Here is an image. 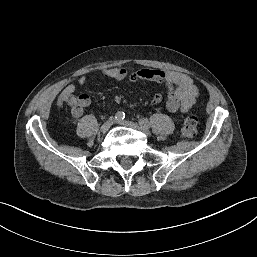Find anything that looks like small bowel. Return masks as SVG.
<instances>
[{
	"mask_svg": "<svg viewBox=\"0 0 257 257\" xmlns=\"http://www.w3.org/2000/svg\"><path fill=\"white\" fill-rule=\"evenodd\" d=\"M102 76L112 78L116 81L128 79L135 82L139 80H147L163 84L167 89L166 107L171 113L185 114L197 102L199 90L193 79L187 74L170 71L159 70L150 67H143L137 71L130 72L126 68H103L100 70ZM90 75L84 74L78 77L76 84L84 86ZM76 90L75 84L66 85L61 92V99L64 102H71V113L74 117H80L84 108L89 105L90 97L88 94H80L74 96ZM162 101V95L156 94L152 99V104L156 105Z\"/></svg>",
	"mask_w": 257,
	"mask_h": 257,
	"instance_id": "c3829d8e",
	"label": "small bowel"
}]
</instances>
